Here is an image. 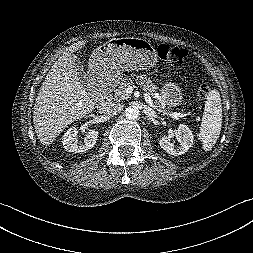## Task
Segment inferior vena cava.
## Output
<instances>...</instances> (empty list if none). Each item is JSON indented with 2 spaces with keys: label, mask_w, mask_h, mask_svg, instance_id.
<instances>
[{
  "label": "inferior vena cava",
  "mask_w": 253,
  "mask_h": 253,
  "mask_svg": "<svg viewBox=\"0 0 253 253\" xmlns=\"http://www.w3.org/2000/svg\"><path fill=\"white\" fill-rule=\"evenodd\" d=\"M102 111L108 116L117 115L123 109V105L121 103H110L102 106Z\"/></svg>",
  "instance_id": "602c4592"
}]
</instances>
